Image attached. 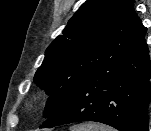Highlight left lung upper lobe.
I'll list each match as a JSON object with an SVG mask.
<instances>
[{
    "label": "left lung upper lobe",
    "mask_w": 151,
    "mask_h": 131,
    "mask_svg": "<svg viewBox=\"0 0 151 131\" xmlns=\"http://www.w3.org/2000/svg\"><path fill=\"white\" fill-rule=\"evenodd\" d=\"M134 0H87L47 48L34 82L49 94L51 117L89 73L120 66L135 49Z\"/></svg>",
    "instance_id": "obj_1"
}]
</instances>
